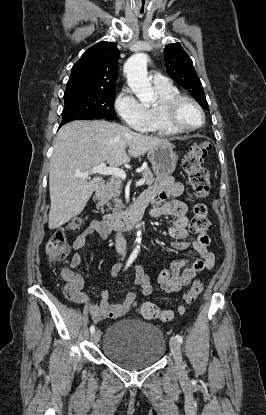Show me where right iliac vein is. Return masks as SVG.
<instances>
[{"instance_id": "63e3f726", "label": "right iliac vein", "mask_w": 266, "mask_h": 415, "mask_svg": "<svg viewBox=\"0 0 266 415\" xmlns=\"http://www.w3.org/2000/svg\"><path fill=\"white\" fill-rule=\"evenodd\" d=\"M100 336H101L100 331H99V330H96V331H94V332L92 333V335H91V339H92V341H93L94 343H98V341H99V339H100Z\"/></svg>"}]
</instances>
